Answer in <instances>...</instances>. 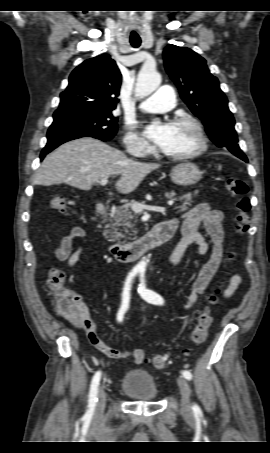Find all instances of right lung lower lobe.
I'll list each match as a JSON object with an SVG mask.
<instances>
[{
  "instance_id": "98d812e1",
  "label": "right lung lower lobe",
  "mask_w": 270,
  "mask_h": 453,
  "mask_svg": "<svg viewBox=\"0 0 270 453\" xmlns=\"http://www.w3.org/2000/svg\"><path fill=\"white\" fill-rule=\"evenodd\" d=\"M73 139H77V138H70V139H65V138H61V137H50V138H48V142H47L46 146L44 147V149L41 152L40 159L43 160L45 155L48 154L49 152H51L53 149H55L56 147H58L62 143H65V142L73 140Z\"/></svg>"
}]
</instances>
